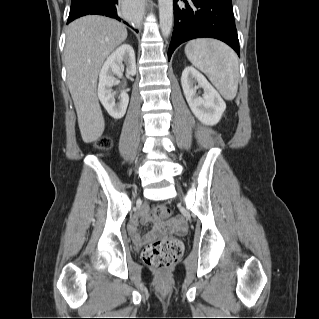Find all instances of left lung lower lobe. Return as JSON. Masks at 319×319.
<instances>
[{
	"mask_svg": "<svg viewBox=\"0 0 319 319\" xmlns=\"http://www.w3.org/2000/svg\"><path fill=\"white\" fill-rule=\"evenodd\" d=\"M174 0V31L168 59L183 42L194 38L210 37L221 40L240 56L231 0Z\"/></svg>",
	"mask_w": 319,
	"mask_h": 319,
	"instance_id": "0a47b994",
	"label": "left lung lower lobe"
}]
</instances>
